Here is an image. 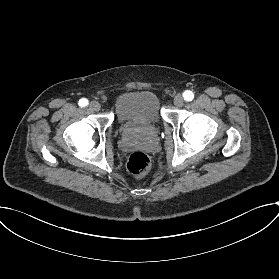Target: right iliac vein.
Segmentation results:
<instances>
[{"instance_id": "63e3f726", "label": "right iliac vein", "mask_w": 279, "mask_h": 279, "mask_svg": "<svg viewBox=\"0 0 279 279\" xmlns=\"http://www.w3.org/2000/svg\"><path fill=\"white\" fill-rule=\"evenodd\" d=\"M89 109L92 111L98 112L101 109V105L96 101H92L89 104Z\"/></svg>"}]
</instances>
